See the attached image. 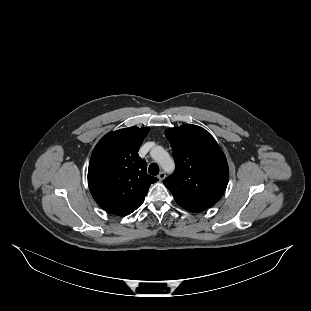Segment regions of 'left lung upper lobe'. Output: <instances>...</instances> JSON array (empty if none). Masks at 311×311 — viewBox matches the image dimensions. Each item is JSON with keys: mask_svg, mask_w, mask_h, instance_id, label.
<instances>
[{"mask_svg": "<svg viewBox=\"0 0 311 311\" xmlns=\"http://www.w3.org/2000/svg\"><path fill=\"white\" fill-rule=\"evenodd\" d=\"M173 149L175 171L164 179L176 202L201 209L212 207L228 184L224 153L205 129L185 124L166 130Z\"/></svg>", "mask_w": 311, "mask_h": 311, "instance_id": "left-lung-upper-lobe-1", "label": "left lung upper lobe"}]
</instances>
